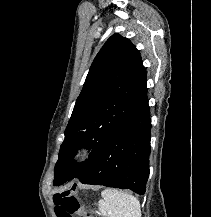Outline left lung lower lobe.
Wrapping results in <instances>:
<instances>
[{
  "mask_svg": "<svg viewBox=\"0 0 211 217\" xmlns=\"http://www.w3.org/2000/svg\"><path fill=\"white\" fill-rule=\"evenodd\" d=\"M151 119L148 101L107 138L75 177L81 183L131 189L144 194L149 177Z\"/></svg>",
  "mask_w": 211,
  "mask_h": 217,
  "instance_id": "obj_1",
  "label": "left lung lower lobe"
}]
</instances>
